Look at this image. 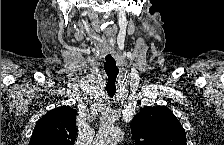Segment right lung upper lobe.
Instances as JSON below:
<instances>
[{"instance_id": "right-lung-upper-lobe-1", "label": "right lung upper lobe", "mask_w": 224, "mask_h": 145, "mask_svg": "<svg viewBox=\"0 0 224 145\" xmlns=\"http://www.w3.org/2000/svg\"><path fill=\"white\" fill-rule=\"evenodd\" d=\"M76 112L70 106L49 111L37 121L29 144L73 145L77 135Z\"/></svg>"}]
</instances>
